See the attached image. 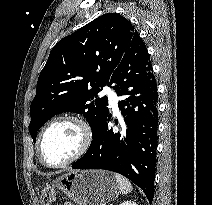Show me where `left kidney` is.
Here are the masks:
<instances>
[{"instance_id":"5707ae66","label":"left kidney","mask_w":212,"mask_h":205,"mask_svg":"<svg viewBox=\"0 0 212 205\" xmlns=\"http://www.w3.org/2000/svg\"><path fill=\"white\" fill-rule=\"evenodd\" d=\"M120 205H137V204L133 201H125V202L121 203Z\"/></svg>"}]
</instances>
